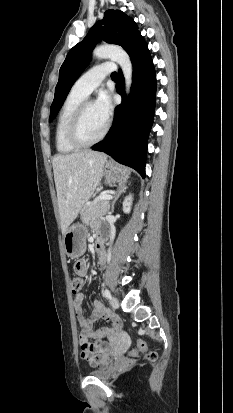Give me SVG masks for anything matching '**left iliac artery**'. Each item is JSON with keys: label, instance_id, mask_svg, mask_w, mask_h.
Returning <instances> with one entry per match:
<instances>
[{"label": "left iliac artery", "instance_id": "left-iliac-artery-1", "mask_svg": "<svg viewBox=\"0 0 233 413\" xmlns=\"http://www.w3.org/2000/svg\"><path fill=\"white\" fill-rule=\"evenodd\" d=\"M104 296H105L106 298H110V292H109L108 289H105V290H104Z\"/></svg>", "mask_w": 233, "mask_h": 413}]
</instances>
